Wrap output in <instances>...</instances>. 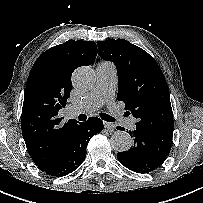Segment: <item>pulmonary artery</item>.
Segmentation results:
<instances>
[{"label":"pulmonary artery","mask_w":203,"mask_h":203,"mask_svg":"<svg viewBox=\"0 0 203 203\" xmlns=\"http://www.w3.org/2000/svg\"><path fill=\"white\" fill-rule=\"evenodd\" d=\"M97 82L88 99L79 106L70 108L71 114L81 112H93L104 104H109L113 109V98L116 89L117 73L114 65L110 62H100L96 66ZM125 125L130 130L136 129L135 118L125 120Z\"/></svg>","instance_id":"obj_1"}]
</instances>
